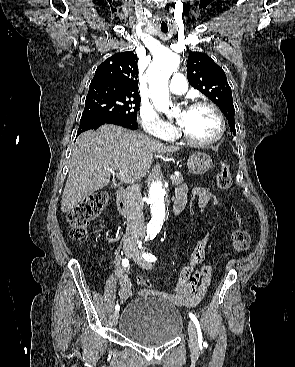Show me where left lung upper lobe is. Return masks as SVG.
<instances>
[{"instance_id": "1", "label": "left lung upper lobe", "mask_w": 295, "mask_h": 367, "mask_svg": "<svg viewBox=\"0 0 295 367\" xmlns=\"http://www.w3.org/2000/svg\"><path fill=\"white\" fill-rule=\"evenodd\" d=\"M187 78L192 87L220 108L229 122L232 136L236 135L232 92L223 69L208 55L190 52L187 61Z\"/></svg>"}]
</instances>
